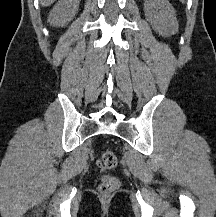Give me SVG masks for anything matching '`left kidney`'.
<instances>
[{"label":"left kidney","instance_id":"obj_1","mask_svg":"<svg viewBox=\"0 0 216 217\" xmlns=\"http://www.w3.org/2000/svg\"><path fill=\"white\" fill-rule=\"evenodd\" d=\"M144 12L152 28L160 35L169 36L178 31L174 8L167 0H145Z\"/></svg>","mask_w":216,"mask_h":217}]
</instances>
